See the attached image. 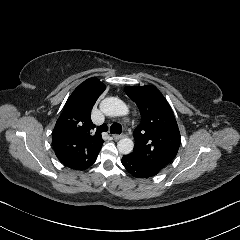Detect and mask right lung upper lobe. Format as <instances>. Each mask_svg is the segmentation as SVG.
Returning <instances> with one entry per match:
<instances>
[{
    "instance_id": "obj_1",
    "label": "right lung upper lobe",
    "mask_w": 240,
    "mask_h": 240,
    "mask_svg": "<svg viewBox=\"0 0 240 240\" xmlns=\"http://www.w3.org/2000/svg\"><path fill=\"white\" fill-rule=\"evenodd\" d=\"M106 86L92 77L81 83L68 98L53 130L57 158L67 167L85 170L95 161L103 145L106 124L96 127L91 110Z\"/></svg>"
}]
</instances>
